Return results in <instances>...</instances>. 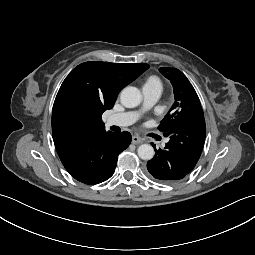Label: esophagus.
Listing matches in <instances>:
<instances>
[{
	"label": "esophagus",
	"instance_id": "obj_1",
	"mask_svg": "<svg viewBox=\"0 0 255 255\" xmlns=\"http://www.w3.org/2000/svg\"><path fill=\"white\" fill-rule=\"evenodd\" d=\"M142 142H143V140L139 136H136V135L132 136V143L133 144H140Z\"/></svg>",
	"mask_w": 255,
	"mask_h": 255
}]
</instances>
